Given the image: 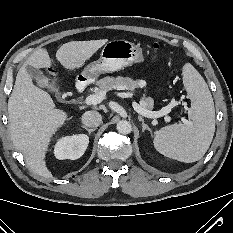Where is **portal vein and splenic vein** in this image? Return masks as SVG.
<instances>
[{
  "label": "portal vein and splenic vein",
  "mask_w": 233,
  "mask_h": 233,
  "mask_svg": "<svg viewBox=\"0 0 233 233\" xmlns=\"http://www.w3.org/2000/svg\"><path fill=\"white\" fill-rule=\"evenodd\" d=\"M105 95H106V92L105 91H100L99 93H95V94H92V95H89L85 98V104L87 105H97L99 103H101L104 99H105ZM178 102L176 101H172L169 105L163 107L160 111H150V110H147L145 109L144 107L140 106V105H136L134 108L135 110L142 116L144 117H148V118H157V117H160V116H164V115H167L168 113L171 112L172 108L177 105ZM185 104V103H184ZM186 105V104H185ZM165 120L167 122L170 121V117H165ZM181 120L183 122H185V118L184 117H181Z\"/></svg>",
  "instance_id": "18ae733b"
}]
</instances>
